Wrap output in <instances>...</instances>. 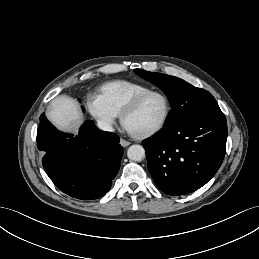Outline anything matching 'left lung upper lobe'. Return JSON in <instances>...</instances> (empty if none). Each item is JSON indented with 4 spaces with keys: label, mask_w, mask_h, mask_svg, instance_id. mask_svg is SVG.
Returning a JSON list of instances; mask_svg holds the SVG:
<instances>
[{
    "label": "left lung upper lobe",
    "mask_w": 259,
    "mask_h": 259,
    "mask_svg": "<svg viewBox=\"0 0 259 259\" xmlns=\"http://www.w3.org/2000/svg\"><path fill=\"white\" fill-rule=\"evenodd\" d=\"M134 71L140 77L158 86L169 97L172 110L165 127L221 111L214 97L204 89L194 87L174 76L141 69Z\"/></svg>",
    "instance_id": "left-lung-upper-lobe-1"
}]
</instances>
